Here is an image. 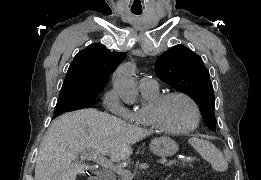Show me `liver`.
I'll return each mask as SVG.
<instances>
[{
    "instance_id": "6515ba94",
    "label": "liver",
    "mask_w": 261,
    "mask_h": 180,
    "mask_svg": "<svg viewBox=\"0 0 261 180\" xmlns=\"http://www.w3.org/2000/svg\"><path fill=\"white\" fill-rule=\"evenodd\" d=\"M151 134L95 108L63 114L44 134L35 180H76L86 170L84 160H90L86 148L109 156L111 162H123L130 158L133 144Z\"/></svg>"
}]
</instances>
